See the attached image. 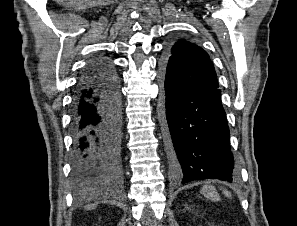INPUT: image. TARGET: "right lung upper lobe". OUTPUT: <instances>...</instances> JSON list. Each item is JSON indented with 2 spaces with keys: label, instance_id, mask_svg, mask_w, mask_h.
<instances>
[{
  "label": "right lung upper lobe",
  "instance_id": "right-lung-upper-lobe-1",
  "mask_svg": "<svg viewBox=\"0 0 297 226\" xmlns=\"http://www.w3.org/2000/svg\"><path fill=\"white\" fill-rule=\"evenodd\" d=\"M91 77L89 71L82 77V80L80 83H85L89 78Z\"/></svg>",
  "mask_w": 297,
  "mask_h": 226
}]
</instances>
